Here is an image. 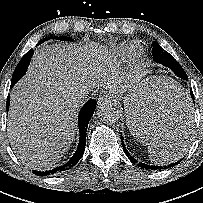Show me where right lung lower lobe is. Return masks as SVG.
Masks as SVG:
<instances>
[{
  "label": "right lung lower lobe",
  "instance_id": "right-lung-lower-lobe-1",
  "mask_svg": "<svg viewBox=\"0 0 203 203\" xmlns=\"http://www.w3.org/2000/svg\"><path fill=\"white\" fill-rule=\"evenodd\" d=\"M33 53H34L33 49L29 50L23 56V58L20 60L19 64H22V65L28 67ZM13 86H14V84L11 83V88ZM9 104H10V96H8L7 102H6V109L7 110L9 108ZM95 108H96V101L93 99L89 100L81 108V111H80L79 117H78L80 140H79L78 148H77L75 154L72 156V158L66 164L58 166V167H56L52 170H49V171L42 172V171L33 170L34 174H36L38 176L52 175L55 173H60L62 171L68 170L78 163L79 159L82 157L84 150H85L87 127H88V123H89V121H90V119L94 113Z\"/></svg>",
  "mask_w": 203,
  "mask_h": 203
}]
</instances>
